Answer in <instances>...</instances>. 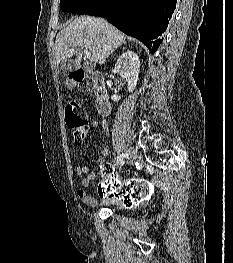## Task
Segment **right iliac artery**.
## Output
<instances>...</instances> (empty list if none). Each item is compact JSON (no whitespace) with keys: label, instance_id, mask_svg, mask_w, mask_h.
Here are the masks:
<instances>
[{"label":"right iliac artery","instance_id":"obj_1","mask_svg":"<svg viewBox=\"0 0 233 263\" xmlns=\"http://www.w3.org/2000/svg\"><path fill=\"white\" fill-rule=\"evenodd\" d=\"M127 156H128V154L125 153V154H121V155H119V156L117 157V162H118V164H119L120 166H123V164H124V157H127Z\"/></svg>","mask_w":233,"mask_h":263}]
</instances>
